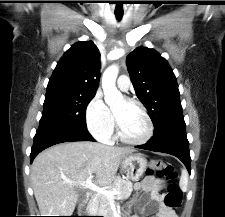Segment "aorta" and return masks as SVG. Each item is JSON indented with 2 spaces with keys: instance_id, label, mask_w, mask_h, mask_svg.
Wrapping results in <instances>:
<instances>
[{
  "instance_id": "1",
  "label": "aorta",
  "mask_w": 225,
  "mask_h": 217,
  "mask_svg": "<svg viewBox=\"0 0 225 217\" xmlns=\"http://www.w3.org/2000/svg\"><path fill=\"white\" fill-rule=\"evenodd\" d=\"M119 73V67L116 64L109 66L102 76V88L106 104L113 107L123 101L121 92L116 87V79Z\"/></svg>"
}]
</instances>
